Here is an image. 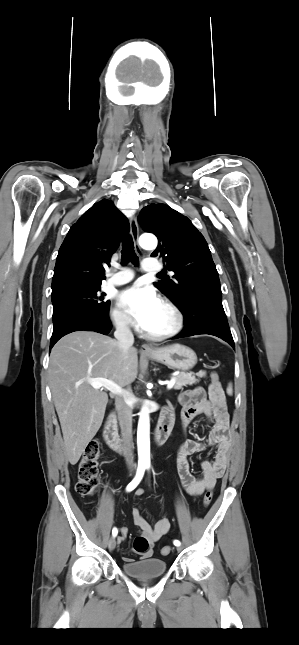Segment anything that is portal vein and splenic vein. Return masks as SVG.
<instances>
[{"mask_svg":"<svg viewBox=\"0 0 299 645\" xmlns=\"http://www.w3.org/2000/svg\"><path fill=\"white\" fill-rule=\"evenodd\" d=\"M175 381V378L171 379L167 384V389H171L174 386ZM88 382L95 389L105 388L115 395H125V391L111 380L105 378H94L90 379Z\"/></svg>","mask_w":299,"mask_h":645,"instance_id":"portal-vein-and-splenic-vein-1","label":"portal vein and splenic vein"}]
</instances>
